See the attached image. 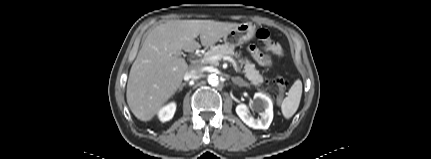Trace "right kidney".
I'll list each match as a JSON object with an SVG mask.
<instances>
[{
	"instance_id": "ca27d5eb",
	"label": "right kidney",
	"mask_w": 431,
	"mask_h": 159,
	"mask_svg": "<svg viewBox=\"0 0 431 159\" xmlns=\"http://www.w3.org/2000/svg\"><path fill=\"white\" fill-rule=\"evenodd\" d=\"M176 110V104L175 103H170L167 106L163 107L160 111H159V119L162 122H166L169 121L170 119H172L174 113Z\"/></svg>"
}]
</instances>
